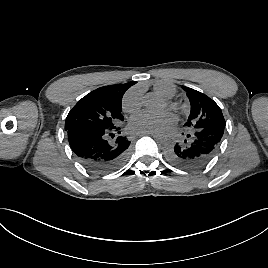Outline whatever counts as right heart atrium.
Returning <instances> with one entry per match:
<instances>
[{"mask_svg": "<svg viewBox=\"0 0 268 268\" xmlns=\"http://www.w3.org/2000/svg\"><path fill=\"white\" fill-rule=\"evenodd\" d=\"M141 94L138 90H130L123 98L122 109L126 113H135L141 108Z\"/></svg>", "mask_w": 268, "mask_h": 268, "instance_id": "obj_1", "label": "right heart atrium"}]
</instances>
